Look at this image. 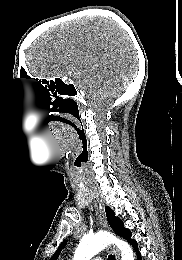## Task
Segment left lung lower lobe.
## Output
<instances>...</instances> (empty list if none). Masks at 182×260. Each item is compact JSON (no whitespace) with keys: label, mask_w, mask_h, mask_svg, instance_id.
<instances>
[{"label":"left lung lower lobe","mask_w":182,"mask_h":260,"mask_svg":"<svg viewBox=\"0 0 182 260\" xmlns=\"http://www.w3.org/2000/svg\"><path fill=\"white\" fill-rule=\"evenodd\" d=\"M131 236H132V233H131V231H129V232L125 235L124 238L135 248L136 253H137V255H138V260H141V255H140V253L138 252L137 242H136V240L132 239Z\"/></svg>","instance_id":"0a47b994"}]
</instances>
